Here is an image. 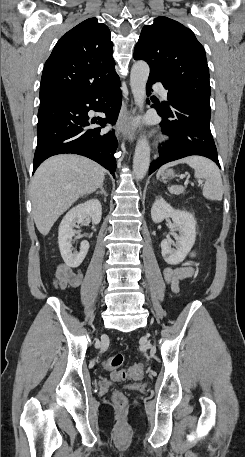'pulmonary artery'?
Returning <instances> with one entry per match:
<instances>
[{
    "label": "pulmonary artery",
    "mask_w": 245,
    "mask_h": 457,
    "mask_svg": "<svg viewBox=\"0 0 245 457\" xmlns=\"http://www.w3.org/2000/svg\"><path fill=\"white\" fill-rule=\"evenodd\" d=\"M149 86L151 90H159L160 102H169L171 92L169 89H163L164 85L162 81H151Z\"/></svg>",
    "instance_id": "obj_1"
}]
</instances>
